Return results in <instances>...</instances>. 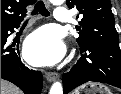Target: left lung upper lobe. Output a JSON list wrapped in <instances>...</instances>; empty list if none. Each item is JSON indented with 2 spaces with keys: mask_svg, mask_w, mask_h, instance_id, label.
Here are the masks:
<instances>
[{
  "mask_svg": "<svg viewBox=\"0 0 121 94\" xmlns=\"http://www.w3.org/2000/svg\"><path fill=\"white\" fill-rule=\"evenodd\" d=\"M67 5L79 10L77 18L81 19V22L77 27V43L80 47L93 44L119 47L110 0H67Z\"/></svg>",
  "mask_w": 121,
  "mask_h": 94,
  "instance_id": "left-lung-upper-lobe-1",
  "label": "left lung upper lobe"
}]
</instances>
